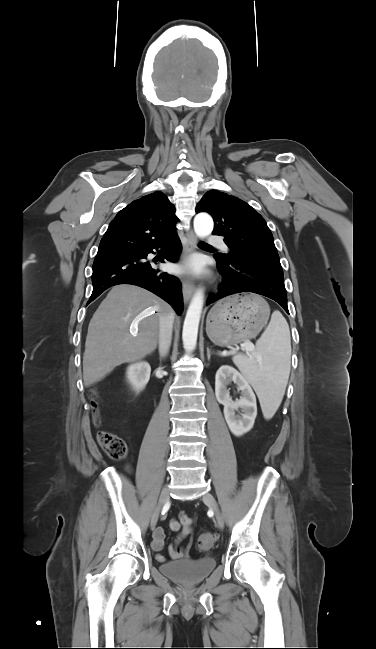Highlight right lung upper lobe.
I'll return each mask as SVG.
<instances>
[{"label": "right lung upper lobe", "mask_w": 376, "mask_h": 649, "mask_svg": "<svg viewBox=\"0 0 376 649\" xmlns=\"http://www.w3.org/2000/svg\"><path fill=\"white\" fill-rule=\"evenodd\" d=\"M175 208L160 191L133 201L110 223L97 256L138 251L175 234Z\"/></svg>", "instance_id": "1"}]
</instances>
